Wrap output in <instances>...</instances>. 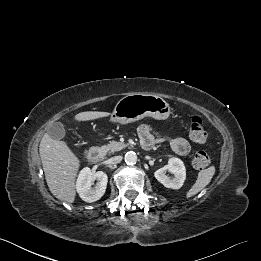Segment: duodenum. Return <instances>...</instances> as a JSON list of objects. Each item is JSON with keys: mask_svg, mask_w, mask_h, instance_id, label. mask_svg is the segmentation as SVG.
Wrapping results in <instances>:
<instances>
[{"mask_svg": "<svg viewBox=\"0 0 261 261\" xmlns=\"http://www.w3.org/2000/svg\"><path fill=\"white\" fill-rule=\"evenodd\" d=\"M143 146L149 147L147 143H143ZM85 156L88 161L92 163H99L103 158V152L97 147H92L86 151Z\"/></svg>", "mask_w": 261, "mask_h": 261, "instance_id": "1", "label": "duodenum"}]
</instances>
